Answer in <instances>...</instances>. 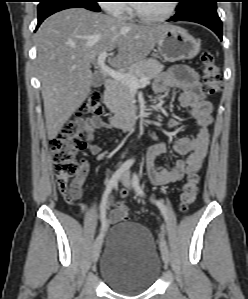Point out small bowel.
<instances>
[{
	"label": "small bowel",
	"instance_id": "c3829d8e",
	"mask_svg": "<svg viewBox=\"0 0 248 299\" xmlns=\"http://www.w3.org/2000/svg\"><path fill=\"white\" fill-rule=\"evenodd\" d=\"M170 89L179 91L178 103L180 107L190 109L191 118L197 125L193 138L181 137L174 144V151L185 155V159H177L172 167H164L158 159L167 149L162 141H157L146 152V169L150 182L153 185L163 186L176 183L193 171L201 168L209 147L210 126L212 123V104L205 99L201 89L199 75L187 67H174L170 72L161 74L154 85L156 94H164ZM180 123L171 119L167 123L168 129L176 128ZM110 125L99 117L77 120V130L86 132V149L92 155L100 156L102 147L95 143V134L98 130L108 129ZM87 168V163H85ZM129 194L127 188L121 192L122 197ZM118 205L108 216L110 223L120 220Z\"/></svg>",
	"mask_w": 248,
	"mask_h": 299
}]
</instances>
